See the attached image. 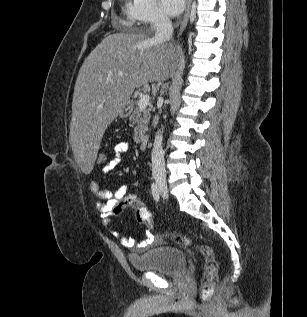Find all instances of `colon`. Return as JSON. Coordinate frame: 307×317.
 I'll return each mask as SVG.
<instances>
[{"label":"colon","mask_w":307,"mask_h":317,"mask_svg":"<svg viewBox=\"0 0 307 317\" xmlns=\"http://www.w3.org/2000/svg\"><path fill=\"white\" fill-rule=\"evenodd\" d=\"M96 165L103 167L107 164V155L105 152H98ZM132 208L134 209L136 221L140 224L146 225L148 228H153L154 223L152 215L149 209L142 203L139 196L136 194H131L123 198L120 202L116 204L113 209V213L118 215L123 208ZM170 238L179 246H186L189 244V240L186 236L181 234H172ZM198 249L205 255L206 264L204 270V278L201 285V294L203 296L208 295L212 284L217 275V262L214 258L213 251L210 247L205 245L198 246Z\"/></svg>","instance_id":"5ec220e1"}]
</instances>
